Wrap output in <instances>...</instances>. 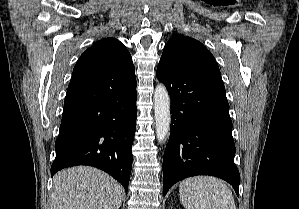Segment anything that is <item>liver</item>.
<instances>
[{
  "label": "liver",
  "instance_id": "obj_1",
  "mask_svg": "<svg viewBox=\"0 0 299 209\" xmlns=\"http://www.w3.org/2000/svg\"><path fill=\"white\" fill-rule=\"evenodd\" d=\"M124 189L108 174L89 166L58 172L53 180L52 209H120Z\"/></svg>",
  "mask_w": 299,
  "mask_h": 209
}]
</instances>
